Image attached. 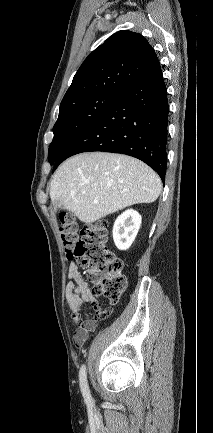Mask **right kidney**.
Segmentation results:
<instances>
[{
	"label": "right kidney",
	"instance_id": "right-kidney-1",
	"mask_svg": "<svg viewBox=\"0 0 213 433\" xmlns=\"http://www.w3.org/2000/svg\"><path fill=\"white\" fill-rule=\"evenodd\" d=\"M141 215L132 209L126 210L114 222L113 240L119 250H127L134 242L141 225Z\"/></svg>",
	"mask_w": 213,
	"mask_h": 433
}]
</instances>
